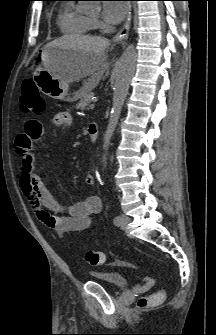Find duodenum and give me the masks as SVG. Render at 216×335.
Segmentation results:
<instances>
[{
  "label": "duodenum",
  "instance_id": "410a0bca",
  "mask_svg": "<svg viewBox=\"0 0 216 335\" xmlns=\"http://www.w3.org/2000/svg\"><path fill=\"white\" fill-rule=\"evenodd\" d=\"M88 134L92 141H96L98 138V125L96 123H91L88 126Z\"/></svg>",
  "mask_w": 216,
  "mask_h": 335
}]
</instances>
